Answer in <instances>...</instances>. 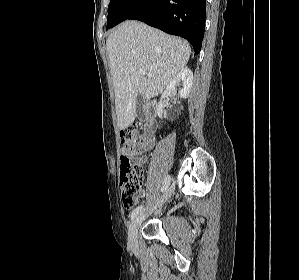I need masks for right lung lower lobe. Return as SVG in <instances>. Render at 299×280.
I'll return each instance as SVG.
<instances>
[{
    "label": "right lung lower lobe",
    "mask_w": 299,
    "mask_h": 280,
    "mask_svg": "<svg viewBox=\"0 0 299 280\" xmlns=\"http://www.w3.org/2000/svg\"><path fill=\"white\" fill-rule=\"evenodd\" d=\"M205 15L206 0H132L116 23L140 20L187 39L198 54L204 37Z\"/></svg>",
    "instance_id": "98d812e1"
}]
</instances>
